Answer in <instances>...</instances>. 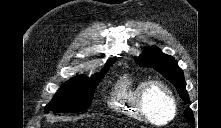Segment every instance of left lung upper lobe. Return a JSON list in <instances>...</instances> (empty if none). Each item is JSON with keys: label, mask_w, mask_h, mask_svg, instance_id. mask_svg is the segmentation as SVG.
Listing matches in <instances>:
<instances>
[{"label": "left lung upper lobe", "mask_w": 221, "mask_h": 128, "mask_svg": "<svg viewBox=\"0 0 221 128\" xmlns=\"http://www.w3.org/2000/svg\"><path fill=\"white\" fill-rule=\"evenodd\" d=\"M135 61L144 67H151L160 72L177 88L182 99L189 103V97L185 89L184 75L177 61L172 56L166 55L155 46L148 47L143 54L135 58ZM184 115L190 125L194 126V116L191 110H186Z\"/></svg>", "instance_id": "1"}]
</instances>
